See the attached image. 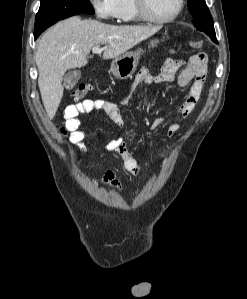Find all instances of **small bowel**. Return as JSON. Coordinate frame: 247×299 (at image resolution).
Wrapping results in <instances>:
<instances>
[{
    "label": "small bowel",
    "mask_w": 247,
    "mask_h": 299,
    "mask_svg": "<svg viewBox=\"0 0 247 299\" xmlns=\"http://www.w3.org/2000/svg\"><path fill=\"white\" fill-rule=\"evenodd\" d=\"M207 71V56L205 53H199L190 58L188 62L183 60L168 59L160 69L159 73L154 75L148 69H142L137 75L134 85H150L153 83L171 82L175 79L180 87L184 88L191 82L188 96L180 104L177 113L188 115L197 101L199 100ZM127 102V98L122 100ZM93 110L103 111L111 122L119 129L124 127V119L116 103L103 99H85L76 104H71L64 111L65 124L61 127V133L68 135L71 143L76 145L79 150L85 151L86 134L81 128L80 115L90 113ZM164 123V119L156 117L150 123L151 129H157ZM176 122L170 124L168 135L174 136L177 132ZM102 149L106 152H115L122 160L124 168L133 175H140L148 166V163H139L130 153L124 138L116 136L115 138L102 144ZM105 185L121 190V183L117 179L115 172L109 170L104 176Z\"/></svg>",
    "instance_id": "c3829d8e"
}]
</instances>
